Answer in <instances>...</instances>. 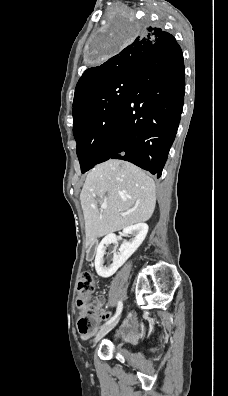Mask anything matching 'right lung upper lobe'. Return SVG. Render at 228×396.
Instances as JSON below:
<instances>
[{
	"label": "right lung upper lobe",
	"instance_id": "1",
	"mask_svg": "<svg viewBox=\"0 0 228 396\" xmlns=\"http://www.w3.org/2000/svg\"><path fill=\"white\" fill-rule=\"evenodd\" d=\"M175 38L160 28L146 27L118 54L97 67L87 69L79 79L73 101V117L84 103L110 81L135 74L142 59L154 49H167Z\"/></svg>",
	"mask_w": 228,
	"mask_h": 396
}]
</instances>
